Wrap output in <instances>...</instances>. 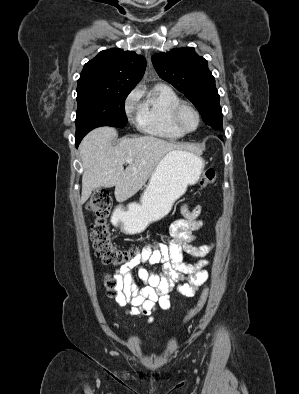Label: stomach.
I'll return each mask as SVG.
<instances>
[{"label": "stomach", "instance_id": "obj_1", "mask_svg": "<svg viewBox=\"0 0 299 394\" xmlns=\"http://www.w3.org/2000/svg\"><path fill=\"white\" fill-rule=\"evenodd\" d=\"M204 167L194 152L177 149L167 153L150 177L139 203H130L121 212L120 224L126 234L143 232L149 224L165 217L174 202L195 184Z\"/></svg>", "mask_w": 299, "mask_h": 394}]
</instances>
